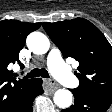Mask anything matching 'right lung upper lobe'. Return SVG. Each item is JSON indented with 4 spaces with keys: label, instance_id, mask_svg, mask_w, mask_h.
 I'll use <instances>...</instances> for the list:
<instances>
[{
    "label": "right lung upper lobe",
    "instance_id": "obj_1",
    "mask_svg": "<svg viewBox=\"0 0 112 112\" xmlns=\"http://www.w3.org/2000/svg\"><path fill=\"white\" fill-rule=\"evenodd\" d=\"M41 23L17 20L0 21V112H13L35 79H16L8 69L10 63L19 61L27 35L37 30Z\"/></svg>",
    "mask_w": 112,
    "mask_h": 112
}]
</instances>
